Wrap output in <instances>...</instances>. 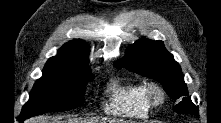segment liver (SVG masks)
Returning <instances> with one entry per match:
<instances>
[{
	"mask_svg": "<svg viewBox=\"0 0 221 123\" xmlns=\"http://www.w3.org/2000/svg\"><path fill=\"white\" fill-rule=\"evenodd\" d=\"M109 123H125L121 120H115V119H111V120H107ZM25 123H50L49 117H44V116H40V117H36V118H31L29 120H26ZM52 123H75V122H70V120L68 122H58L57 120H54Z\"/></svg>",
	"mask_w": 221,
	"mask_h": 123,
	"instance_id": "6515ba94",
	"label": "liver"
}]
</instances>
